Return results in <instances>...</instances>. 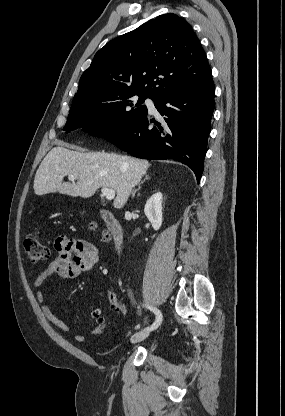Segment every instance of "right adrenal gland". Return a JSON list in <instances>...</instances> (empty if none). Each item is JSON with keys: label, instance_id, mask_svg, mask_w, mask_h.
Segmentation results:
<instances>
[{"label": "right adrenal gland", "instance_id": "2a0ac1e0", "mask_svg": "<svg viewBox=\"0 0 285 416\" xmlns=\"http://www.w3.org/2000/svg\"><path fill=\"white\" fill-rule=\"evenodd\" d=\"M146 180H149V176H145L144 180H142V182H140V184H138L137 190H132V196H131V198H134L136 192H138V190H140L141 184H144V182H146Z\"/></svg>", "mask_w": 285, "mask_h": 416}]
</instances>
